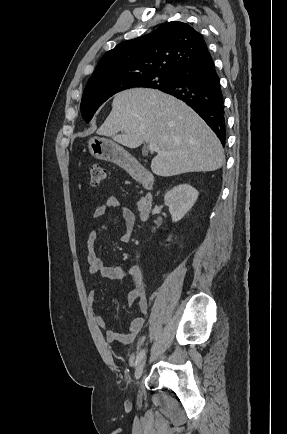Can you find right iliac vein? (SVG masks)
Instances as JSON below:
<instances>
[{
  "instance_id": "63e3f726",
  "label": "right iliac vein",
  "mask_w": 287,
  "mask_h": 434,
  "mask_svg": "<svg viewBox=\"0 0 287 434\" xmlns=\"http://www.w3.org/2000/svg\"><path fill=\"white\" fill-rule=\"evenodd\" d=\"M145 363H146V359L143 358L137 365L136 369H135V373H134V378L136 381H138L143 373L144 367H145Z\"/></svg>"
}]
</instances>
